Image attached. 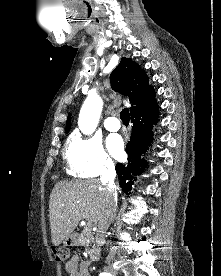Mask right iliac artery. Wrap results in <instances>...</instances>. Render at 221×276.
Here are the masks:
<instances>
[{
	"label": "right iliac artery",
	"mask_w": 221,
	"mask_h": 276,
	"mask_svg": "<svg viewBox=\"0 0 221 276\" xmlns=\"http://www.w3.org/2000/svg\"><path fill=\"white\" fill-rule=\"evenodd\" d=\"M100 276H111V275L107 273H101Z\"/></svg>",
	"instance_id": "82829eb1"
}]
</instances>
